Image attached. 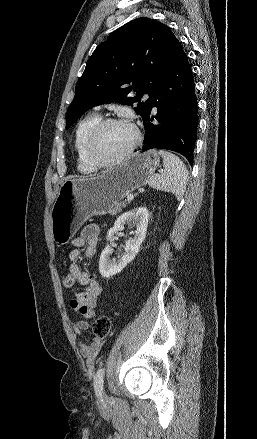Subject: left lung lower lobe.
I'll use <instances>...</instances> for the list:
<instances>
[{
  "instance_id": "left-lung-lower-lobe-1",
  "label": "left lung lower lobe",
  "mask_w": 257,
  "mask_h": 439,
  "mask_svg": "<svg viewBox=\"0 0 257 439\" xmlns=\"http://www.w3.org/2000/svg\"><path fill=\"white\" fill-rule=\"evenodd\" d=\"M143 124L146 132L141 151L167 149L182 154L193 164L198 107L192 70L180 42L152 91V104Z\"/></svg>"
}]
</instances>
